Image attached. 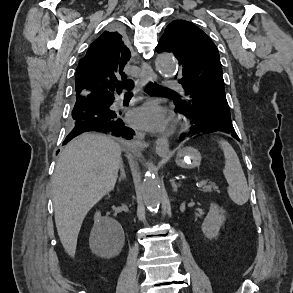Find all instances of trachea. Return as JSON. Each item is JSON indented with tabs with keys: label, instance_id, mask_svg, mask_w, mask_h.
I'll return each mask as SVG.
<instances>
[{
	"label": "trachea",
	"instance_id": "obj_1",
	"mask_svg": "<svg viewBox=\"0 0 293 293\" xmlns=\"http://www.w3.org/2000/svg\"><path fill=\"white\" fill-rule=\"evenodd\" d=\"M148 87H149V93H156V94H158V93H160V94H162V93H173V92H171V91H169L167 89H164L161 86H156L155 84H153L151 82L148 84ZM131 94L132 93H126V95H131Z\"/></svg>",
	"mask_w": 293,
	"mask_h": 293
}]
</instances>
